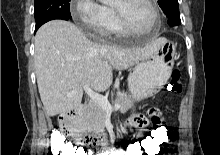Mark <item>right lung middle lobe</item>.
Segmentation results:
<instances>
[{"mask_svg": "<svg viewBox=\"0 0 220 155\" xmlns=\"http://www.w3.org/2000/svg\"><path fill=\"white\" fill-rule=\"evenodd\" d=\"M70 0H35L36 26L53 19H71Z\"/></svg>", "mask_w": 220, "mask_h": 155, "instance_id": "1", "label": "right lung middle lobe"}]
</instances>
